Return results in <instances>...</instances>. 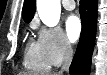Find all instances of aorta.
Segmentation results:
<instances>
[{
    "label": "aorta",
    "instance_id": "762f6f07",
    "mask_svg": "<svg viewBox=\"0 0 107 75\" xmlns=\"http://www.w3.org/2000/svg\"><path fill=\"white\" fill-rule=\"evenodd\" d=\"M37 10L41 21L48 27L59 23L61 14L60 0H37Z\"/></svg>",
    "mask_w": 107,
    "mask_h": 75
}]
</instances>
